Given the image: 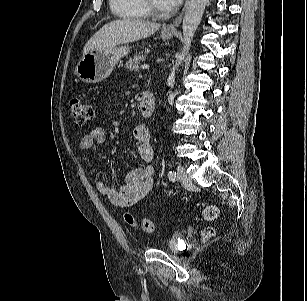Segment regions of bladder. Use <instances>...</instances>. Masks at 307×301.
Masks as SVG:
<instances>
[{
    "mask_svg": "<svg viewBox=\"0 0 307 301\" xmlns=\"http://www.w3.org/2000/svg\"><path fill=\"white\" fill-rule=\"evenodd\" d=\"M165 249L171 253L178 252L180 249L178 239L176 237L170 238L165 244Z\"/></svg>",
    "mask_w": 307,
    "mask_h": 301,
    "instance_id": "bladder-1",
    "label": "bladder"
}]
</instances>
